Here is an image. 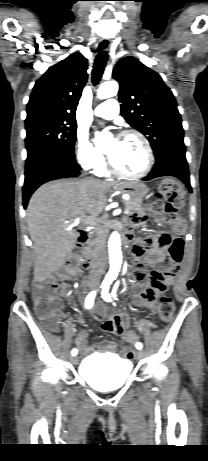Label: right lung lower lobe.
<instances>
[{
	"label": "right lung lower lobe",
	"mask_w": 208,
	"mask_h": 461,
	"mask_svg": "<svg viewBox=\"0 0 208 461\" xmlns=\"http://www.w3.org/2000/svg\"><path fill=\"white\" fill-rule=\"evenodd\" d=\"M23 185V207L32 193L42 184L60 178L77 177L80 166L75 158L57 151H46L26 161Z\"/></svg>",
	"instance_id": "98d812e1"
}]
</instances>
